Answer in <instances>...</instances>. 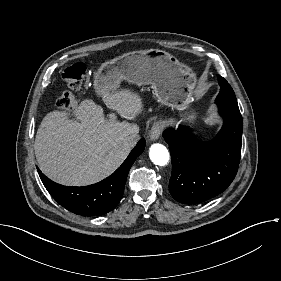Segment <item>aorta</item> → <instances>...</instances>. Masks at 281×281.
Wrapping results in <instances>:
<instances>
[{
	"label": "aorta",
	"mask_w": 281,
	"mask_h": 281,
	"mask_svg": "<svg viewBox=\"0 0 281 281\" xmlns=\"http://www.w3.org/2000/svg\"><path fill=\"white\" fill-rule=\"evenodd\" d=\"M149 156L151 161L159 166L166 165L170 158L167 148L159 143L153 144L150 147Z\"/></svg>",
	"instance_id": "762f6f07"
}]
</instances>
